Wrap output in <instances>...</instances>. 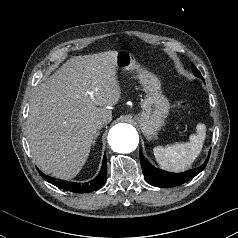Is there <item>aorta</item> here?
I'll return each mask as SVG.
<instances>
[{
  "label": "aorta",
  "instance_id": "762f6f07",
  "mask_svg": "<svg viewBox=\"0 0 238 238\" xmlns=\"http://www.w3.org/2000/svg\"><path fill=\"white\" fill-rule=\"evenodd\" d=\"M139 136L136 129L126 123H120L111 128L108 134V143L113 151L130 153L136 149Z\"/></svg>",
  "mask_w": 238,
  "mask_h": 238
}]
</instances>
